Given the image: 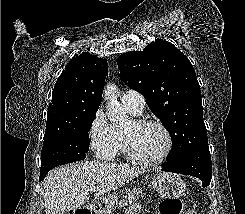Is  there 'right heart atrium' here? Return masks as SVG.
<instances>
[{
    "label": "right heart atrium",
    "mask_w": 245,
    "mask_h": 214,
    "mask_svg": "<svg viewBox=\"0 0 245 214\" xmlns=\"http://www.w3.org/2000/svg\"><path fill=\"white\" fill-rule=\"evenodd\" d=\"M88 137L90 147L98 159L111 160L118 153L120 143L118 133L102 110H98L93 116Z\"/></svg>",
    "instance_id": "right-heart-atrium-1"
}]
</instances>
